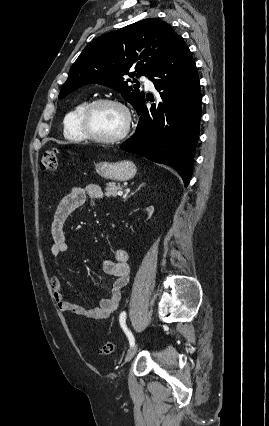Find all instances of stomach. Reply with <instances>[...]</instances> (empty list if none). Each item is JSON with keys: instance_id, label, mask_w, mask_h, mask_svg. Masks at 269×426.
I'll return each instance as SVG.
<instances>
[{"instance_id": "stomach-1", "label": "stomach", "mask_w": 269, "mask_h": 426, "mask_svg": "<svg viewBox=\"0 0 269 426\" xmlns=\"http://www.w3.org/2000/svg\"><path fill=\"white\" fill-rule=\"evenodd\" d=\"M96 172L103 178L113 181L132 179L137 172L136 165L129 160L117 162H99L95 165Z\"/></svg>"}]
</instances>
